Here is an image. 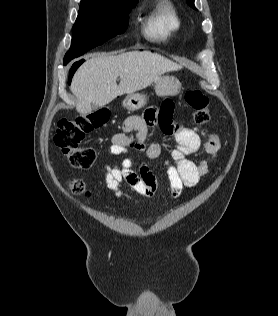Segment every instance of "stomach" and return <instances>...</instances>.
<instances>
[{"mask_svg": "<svg viewBox=\"0 0 278 316\" xmlns=\"http://www.w3.org/2000/svg\"><path fill=\"white\" fill-rule=\"evenodd\" d=\"M181 89L180 81L173 76H160L155 81V92L158 96H174L176 95ZM147 99L146 96L140 93H132L128 94L123 102L122 105L124 108L135 111L141 109L146 104Z\"/></svg>", "mask_w": 278, "mask_h": 316, "instance_id": "obj_1", "label": "stomach"}]
</instances>
